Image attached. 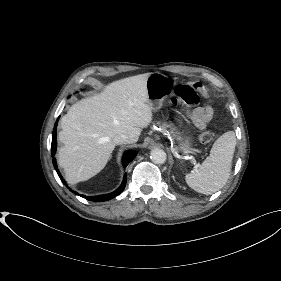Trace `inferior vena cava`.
<instances>
[{
	"label": "inferior vena cava",
	"mask_w": 281,
	"mask_h": 281,
	"mask_svg": "<svg viewBox=\"0 0 281 281\" xmlns=\"http://www.w3.org/2000/svg\"><path fill=\"white\" fill-rule=\"evenodd\" d=\"M115 144H125L130 142V138L126 134H118L113 138Z\"/></svg>",
	"instance_id": "obj_1"
}]
</instances>
